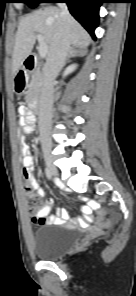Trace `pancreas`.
<instances>
[{
    "mask_svg": "<svg viewBox=\"0 0 136 296\" xmlns=\"http://www.w3.org/2000/svg\"><path fill=\"white\" fill-rule=\"evenodd\" d=\"M42 85V73L39 68H36L31 75V81L28 86L27 99L28 102L37 101Z\"/></svg>",
    "mask_w": 136,
    "mask_h": 296,
    "instance_id": "pancreas-1",
    "label": "pancreas"
}]
</instances>
